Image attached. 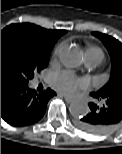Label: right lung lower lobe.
<instances>
[{
    "instance_id": "obj_1",
    "label": "right lung lower lobe",
    "mask_w": 122,
    "mask_h": 154,
    "mask_svg": "<svg viewBox=\"0 0 122 154\" xmlns=\"http://www.w3.org/2000/svg\"><path fill=\"white\" fill-rule=\"evenodd\" d=\"M56 93L50 88L37 93L28 85H1V118L12 126H27L39 121L48 101Z\"/></svg>"
}]
</instances>
